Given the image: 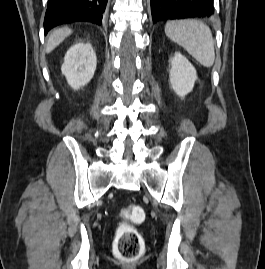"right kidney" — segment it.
<instances>
[{"label":"right kidney","instance_id":"right-kidney-1","mask_svg":"<svg viewBox=\"0 0 265 269\" xmlns=\"http://www.w3.org/2000/svg\"><path fill=\"white\" fill-rule=\"evenodd\" d=\"M97 65L95 51L89 43H76L66 53L61 67L68 84L78 90L93 78Z\"/></svg>","mask_w":265,"mask_h":269}]
</instances>
